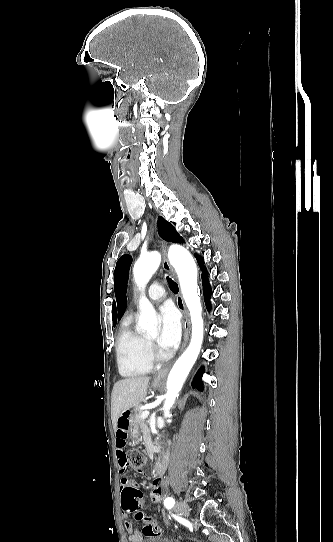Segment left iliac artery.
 <instances>
[{
    "label": "left iliac artery",
    "mask_w": 333,
    "mask_h": 542,
    "mask_svg": "<svg viewBox=\"0 0 333 542\" xmlns=\"http://www.w3.org/2000/svg\"><path fill=\"white\" fill-rule=\"evenodd\" d=\"M174 504H175V501H174V499L171 498V497H167V498L164 500V505H165V506H168V505L173 506Z\"/></svg>",
    "instance_id": "1"
}]
</instances>
